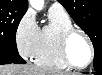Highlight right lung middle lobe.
I'll list each match as a JSON object with an SVG mask.
<instances>
[{"label": "right lung middle lobe", "instance_id": "obj_1", "mask_svg": "<svg viewBox=\"0 0 102 75\" xmlns=\"http://www.w3.org/2000/svg\"><path fill=\"white\" fill-rule=\"evenodd\" d=\"M26 11L0 9V53H18L16 30Z\"/></svg>", "mask_w": 102, "mask_h": 75}]
</instances>
